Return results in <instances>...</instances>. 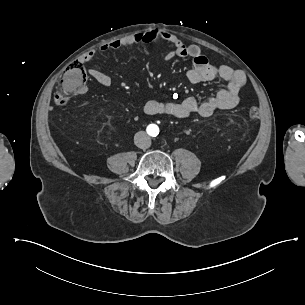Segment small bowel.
<instances>
[{
	"label": "small bowel",
	"instance_id": "c3829d8e",
	"mask_svg": "<svg viewBox=\"0 0 305 305\" xmlns=\"http://www.w3.org/2000/svg\"><path fill=\"white\" fill-rule=\"evenodd\" d=\"M157 39L162 40L171 47L165 54L164 61H171L175 57L187 58L192 61V68L187 72V79L191 83L211 82L220 79L227 84L225 88L202 101L197 100L195 97L167 102L151 99L144 105L145 113L150 115H170L180 119H186L193 114L209 117L218 110H230L239 104L240 92L246 84L245 74L226 65H215L202 53L199 46L186 44L168 32L150 30L110 41L84 53L80 58V62L88 63L98 53L119 50L136 44H149ZM87 73L103 87H109L112 83L111 77L102 71L91 68L87 70ZM86 91V87L80 89L81 93Z\"/></svg>",
	"mask_w": 305,
	"mask_h": 305
}]
</instances>
